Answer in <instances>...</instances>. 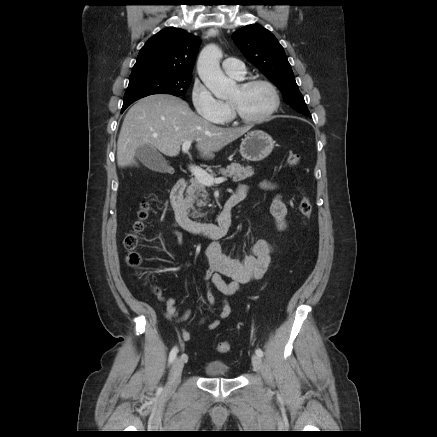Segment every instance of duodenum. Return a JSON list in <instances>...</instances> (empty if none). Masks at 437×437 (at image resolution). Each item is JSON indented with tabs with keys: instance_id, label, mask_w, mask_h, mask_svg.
<instances>
[{
	"instance_id": "obj_1",
	"label": "duodenum",
	"mask_w": 437,
	"mask_h": 437,
	"mask_svg": "<svg viewBox=\"0 0 437 437\" xmlns=\"http://www.w3.org/2000/svg\"><path fill=\"white\" fill-rule=\"evenodd\" d=\"M187 180L181 177L173 186L170 194L171 205L174 210L177 224L187 232L210 239H218L227 234L232 224V211L241 198L231 195L225 202L216 223L193 220L187 211L184 202V191Z\"/></svg>"
}]
</instances>
